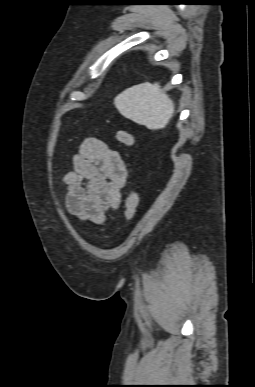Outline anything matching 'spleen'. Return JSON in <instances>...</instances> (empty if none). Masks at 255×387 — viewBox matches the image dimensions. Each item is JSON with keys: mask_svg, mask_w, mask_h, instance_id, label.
Segmentation results:
<instances>
[{"mask_svg": "<svg viewBox=\"0 0 255 387\" xmlns=\"http://www.w3.org/2000/svg\"><path fill=\"white\" fill-rule=\"evenodd\" d=\"M121 115L148 129H162L173 117L174 103L158 83H142L124 90L114 99Z\"/></svg>", "mask_w": 255, "mask_h": 387, "instance_id": "1", "label": "spleen"}]
</instances>
